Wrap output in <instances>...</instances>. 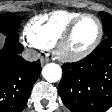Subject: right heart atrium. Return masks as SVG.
Segmentation results:
<instances>
[{"label": "right heart atrium", "mask_w": 112, "mask_h": 112, "mask_svg": "<svg viewBox=\"0 0 112 112\" xmlns=\"http://www.w3.org/2000/svg\"><path fill=\"white\" fill-rule=\"evenodd\" d=\"M23 43L30 49L33 50H41L44 49L39 43H37L34 39H32L27 30L25 29L21 35Z\"/></svg>", "instance_id": "obj_1"}]
</instances>
